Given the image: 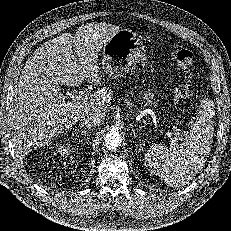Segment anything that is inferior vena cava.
<instances>
[{
	"instance_id": "602c4592",
	"label": "inferior vena cava",
	"mask_w": 231,
	"mask_h": 231,
	"mask_svg": "<svg viewBox=\"0 0 231 231\" xmlns=\"http://www.w3.org/2000/svg\"><path fill=\"white\" fill-rule=\"evenodd\" d=\"M80 125L84 128H92L96 125H98L97 119L93 116L91 113L84 114L80 118Z\"/></svg>"
}]
</instances>
